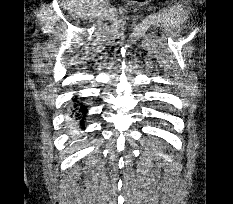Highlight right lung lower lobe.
I'll return each mask as SVG.
<instances>
[{
  "label": "right lung lower lobe",
  "instance_id": "1",
  "mask_svg": "<svg viewBox=\"0 0 233 204\" xmlns=\"http://www.w3.org/2000/svg\"><path fill=\"white\" fill-rule=\"evenodd\" d=\"M74 101H76V98L74 99ZM86 113H87V108L83 104L77 103L75 105V110H73V115L76 117V119L81 120L80 124L82 127H84L83 120L85 119Z\"/></svg>",
  "mask_w": 233,
  "mask_h": 204
}]
</instances>
